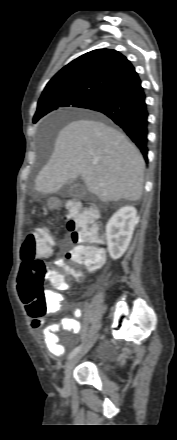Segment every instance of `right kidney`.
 Wrapping results in <instances>:
<instances>
[{
	"mask_svg": "<svg viewBox=\"0 0 177 440\" xmlns=\"http://www.w3.org/2000/svg\"><path fill=\"white\" fill-rule=\"evenodd\" d=\"M137 223V210L132 206L120 208L108 221L106 239L113 260L119 259L127 250Z\"/></svg>",
	"mask_w": 177,
	"mask_h": 440,
	"instance_id": "right-kidney-1",
	"label": "right kidney"
}]
</instances>
